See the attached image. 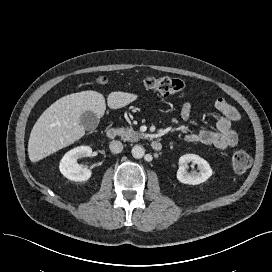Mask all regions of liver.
Listing matches in <instances>:
<instances>
[{"instance_id": "liver-1", "label": "liver", "mask_w": 272, "mask_h": 272, "mask_svg": "<svg viewBox=\"0 0 272 272\" xmlns=\"http://www.w3.org/2000/svg\"><path fill=\"white\" fill-rule=\"evenodd\" d=\"M137 98L132 93L111 92L107 105L111 109H119ZM105 110V98L96 91H82L58 99L42 113L32 128L28 142L29 159L37 162L73 144L85 134V128L80 124L82 113L91 111L101 118Z\"/></svg>"}]
</instances>
